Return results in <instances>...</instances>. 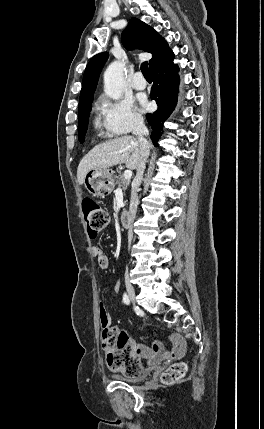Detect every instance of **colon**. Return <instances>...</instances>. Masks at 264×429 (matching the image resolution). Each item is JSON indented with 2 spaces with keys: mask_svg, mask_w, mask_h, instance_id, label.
I'll use <instances>...</instances> for the list:
<instances>
[{
  "mask_svg": "<svg viewBox=\"0 0 264 429\" xmlns=\"http://www.w3.org/2000/svg\"><path fill=\"white\" fill-rule=\"evenodd\" d=\"M82 210L87 223L88 232L95 237L109 222V214L96 200L85 197L82 200ZM99 316L102 325V346L105 351L107 366L114 372L126 376H135L141 372L139 359L133 354L128 335L109 325L105 308L99 305ZM186 372V366L176 363L167 368L160 376L164 384H172L181 379Z\"/></svg>",
  "mask_w": 264,
  "mask_h": 429,
  "instance_id": "5ec220e1",
  "label": "colon"
}]
</instances>
